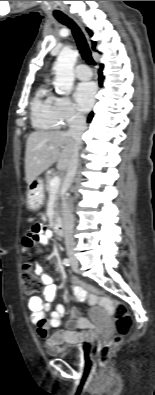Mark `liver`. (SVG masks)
<instances>
[{
	"mask_svg": "<svg viewBox=\"0 0 155 395\" xmlns=\"http://www.w3.org/2000/svg\"><path fill=\"white\" fill-rule=\"evenodd\" d=\"M74 150V140L64 131H35L29 135L25 153V175L29 185L55 162L65 170Z\"/></svg>",
	"mask_w": 155,
	"mask_h": 395,
	"instance_id": "obj_1",
	"label": "liver"
}]
</instances>
